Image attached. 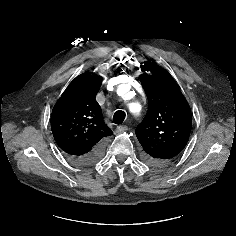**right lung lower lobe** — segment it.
<instances>
[{
	"instance_id": "1",
	"label": "right lung lower lobe",
	"mask_w": 236,
	"mask_h": 236,
	"mask_svg": "<svg viewBox=\"0 0 236 236\" xmlns=\"http://www.w3.org/2000/svg\"><path fill=\"white\" fill-rule=\"evenodd\" d=\"M104 151L105 140H102L86 154H83L81 156H67L76 165L89 166L98 162L102 158Z\"/></svg>"
}]
</instances>
